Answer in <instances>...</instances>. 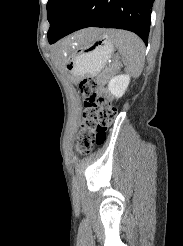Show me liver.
<instances>
[{
    "instance_id": "6515ba94",
    "label": "liver",
    "mask_w": 183,
    "mask_h": 246,
    "mask_svg": "<svg viewBox=\"0 0 183 246\" xmlns=\"http://www.w3.org/2000/svg\"><path fill=\"white\" fill-rule=\"evenodd\" d=\"M101 33H103L102 29H86L75 33L73 36L67 38L63 42L59 44V50L61 55H63L64 51H69L73 48L74 45H81L87 41H91L97 38Z\"/></svg>"
}]
</instances>
